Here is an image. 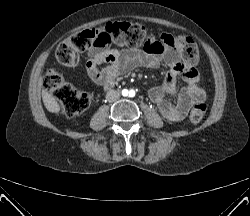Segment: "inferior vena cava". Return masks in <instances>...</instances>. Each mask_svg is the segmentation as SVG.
<instances>
[{
	"instance_id": "602c4592",
	"label": "inferior vena cava",
	"mask_w": 250,
	"mask_h": 216,
	"mask_svg": "<svg viewBox=\"0 0 250 216\" xmlns=\"http://www.w3.org/2000/svg\"><path fill=\"white\" fill-rule=\"evenodd\" d=\"M120 98V92L116 90H109L106 94L108 102H115Z\"/></svg>"
}]
</instances>
